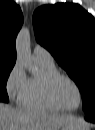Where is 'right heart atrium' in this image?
Here are the masks:
<instances>
[{"instance_id":"d8ad5b80","label":"right heart atrium","mask_w":95,"mask_h":130,"mask_svg":"<svg viewBox=\"0 0 95 130\" xmlns=\"http://www.w3.org/2000/svg\"><path fill=\"white\" fill-rule=\"evenodd\" d=\"M28 78L21 63L16 62L9 71L5 87L9 98L20 103L26 89Z\"/></svg>"}]
</instances>
